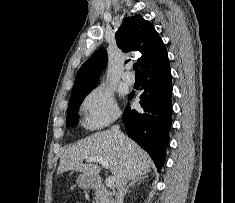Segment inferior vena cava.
<instances>
[{"mask_svg":"<svg viewBox=\"0 0 235 203\" xmlns=\"http://www.w3.org/2000/svg\"><path fill=\"white\" fill-rule=\"evenodd\" d=\"M111 131L118 136V138L121 141L125 140L124 135L120 132L119 126H113ZM127 184V179H123L121 183L117 187V193L115 197V203H123V198H124V192H125V186Z\"/></svg>","mask_w":235,"mask_h":203,"instance_id":"602c4592","label":"inferior vena cava"}]
</instances>
